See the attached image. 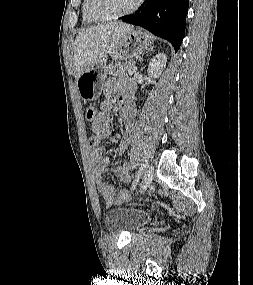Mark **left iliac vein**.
<instances>
[{"instance_id": "4c4485c4", "label": "left iliac vein", "mask_w": 253, "mask_h": 285, "mask_svg": "<svg viewBox=\"0 0 253 285\" xmlns=\"http://www.w3.org/2000/svg\"><path fill=\"white\" fill-rule=\"evenodd\" d=\"M154 176V167L153 165H148L146 171L144 172L142 182L140 185V192H144L151 184Z\"/></svg>"}]
</instances>
